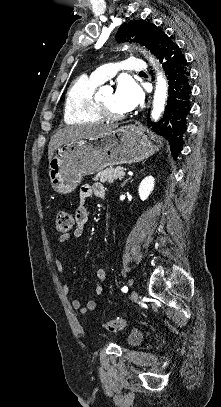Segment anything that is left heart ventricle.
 <instances>
[{
  "label": "left heart ventricle",
  "mask_w": 221,
  "mask_h": 407,
  "mask_svg": "<svg viewBox=\"0 0 221 407\" xmlns=\"http://www.w3.org/2000/svg\"><path fill=\"white\" fill-rule=\"evenodd\" d=\"M101 102L104 103L113 112H116V113H126L127 112L125 109H123L119 105L114 91L105 95L102 98Z\"/></svg>",
  "instance_id": "obj_1"
}]
</instances>
